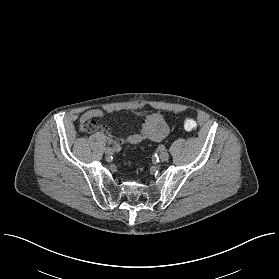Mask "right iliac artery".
<instances>
[{"label": "right iliac artery", "mask_w": 279, "mask_h": 279, "mask_svg": "<svg viewBox=\"0 0 279 279\" xmlns=\"http://www.w3.org/2000/svg\"><path fill=\"white\" fill-rule=\"evenodd\" d=\"M114 151L119 152L121 150V146L120 145H115L113 146Z\"/></svg>", "instance_id": "right-iliac-artery-1"}]
</instances>
